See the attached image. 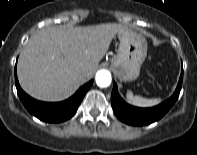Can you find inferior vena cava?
Wrapping results in <instances>:
<instances>
[{
    "label": "inferior vena cava",
    "mask_w": 197,
    "mask_h": 155,
    "mask_svg": "<svg viewBox=\"0 0 197 155\" xmlns=\"http://www.w3.org/2000/svg\"><path fill=\"white\" fill-rule=\"evenodd\" d=\"M82 74H85L86 73V71L85 70H82V72H81Z\"/></svg>",
    "instance_id": "inferior-vena-cava-1"
}]
</instances>
